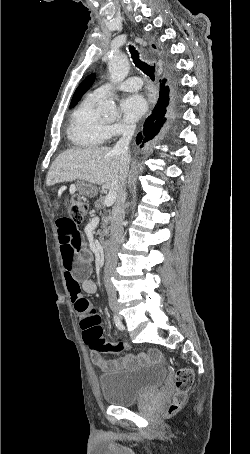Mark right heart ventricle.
<instances>
[{"mask_svg":"<svg viewBox=\"0 0 250 454\" xmlns=\"http://www.w3.org/2000/svg\"><path fill=\"white\" fill-rule=\"evenodd\" d=\"M97 101L89 95L71 114L67 136L77 148L98 147L110 136L108 126L97 116Z\"/></svg>","mask_w":250,"mask_h":454,"instance_id":"e07e8e85","label":"right heart ventricle"}]
</instances>
